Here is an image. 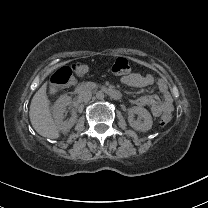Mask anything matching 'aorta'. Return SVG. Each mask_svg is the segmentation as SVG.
Segmentation results:
<instances>
[{"label":"aorta","mask_w":208,"mask_h":208,"mask_svg":"<svg viewBox=\"0 0 208 208\" xmlns=\"http://www.w3.org/2000/svg\"><path fill=\"white\" fill-rule=\"evenodd\" d=\"M96 98H97V99H103V98H104V93H103L102 91H98V92L96 93Z\"/></svg>","instance_id":"762f6f07"}]
</instances>
